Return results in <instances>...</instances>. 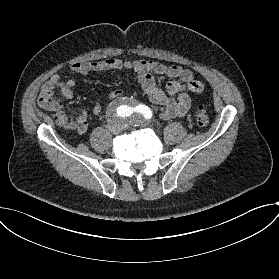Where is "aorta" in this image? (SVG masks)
<instances>
[{
	"mask_svg": "<svg viewBox=\"0 0 279 279\" xmlns=\"http://www.w3.org/2000/svg\"><path fill=\"white\" fill-rule=\"evenodd\" d=\"M120 104H121V103H118L115 107H116V108H119V105H120ZM122 106H123V105H122Z\"/></svg>",
	"mask_w": 279,
	"mask_h": 279,
	"instance_id": "obj_1",
	"label": "aorta"
}]
</instances>
